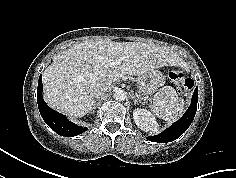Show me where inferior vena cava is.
Instances as JSON below:
<instances>
[{
	"label": "inferior vena cava",
	"mask_w": 236,
	"mask_h": 178,
	"mask_svg": "<svg viewBox=\"0 0 236 178\" xmlns=\"http://www.w3.org/2000/svg\"><path fill=\"white\" fill-rule=\"evenodd\" d=\"M110 86H111L110 82H105V83H102V84H98L97 87L94 90V95L98 97L99 95L106 92Z\"/></svg>",
	"instance_id": "obj_1"
}]
</instances>
